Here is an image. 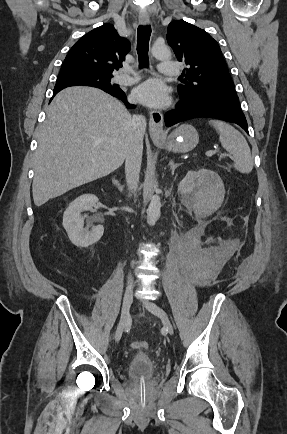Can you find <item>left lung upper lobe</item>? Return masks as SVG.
I'll use <instances>...</instances> for the list:
<instances>
[{
    "label": "left lung upper lobe",
    "mask_w": 287,
    "mask_h": 434,
    "mask_svg": "<svg viewBox=\"0 0 287 434\" xmlns=\"http://www.w3.org/2000/svg\"><path fill=\"white\" fill-rule=\"evenodd\" d=\"M167 41L178 61L187 66L185 84L178 86L181 96L239 100L220 47L205 30L175 20L168 26Z\"/></svg>",
    "instance_id": "1"
}]
</instances>
